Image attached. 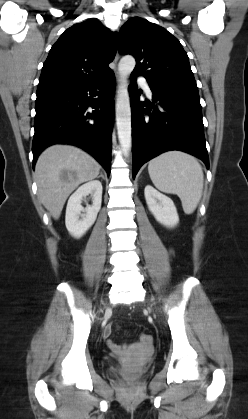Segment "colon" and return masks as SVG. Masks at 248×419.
<instances>
[{
	"label": "colon",
	"mask_w": 248,
	"mask_h": 419,
	"mask_svg": "<svg viewBox=\"0 0 248 419\" xmlns=\"http://www.w3.org/2000/svg\"><path fill=\"white\" fill-rule=\"evenodd\" d=\"M140 340L147 345H151L152 344V337L148 334H141L140 335Z\"/></svg>",
	"instance_id": "obj_1"
}]
</instances>
